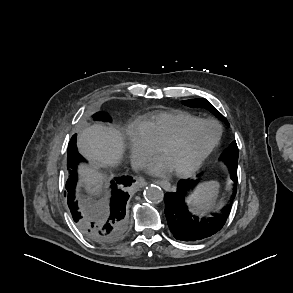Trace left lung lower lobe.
I'll use <instances>...</instances> for the list:
<instances>
[{"label": "left lung lower lobe", "mask_w": 293, "mask_h": 293, "mask_svg": "<svg viewBox=\"0 0 293 293\" xmlns=\"http://www.w3.org/2000/svg\"><path fill=\"white\" fill-rule=\"evenodd\" d=\"M229 169L231 179L235 183L233 188L234 198L237 186V165H231ZM193 183V180H181L175 192L167 193L164 196L166 206L164 212L168 226L177 240L197 241L210 237L224 226L231 210L232 201L224 209L222 215H215L212 218L203 219L191 215L185 203V195L192 189Z\"/></svg>", "instance_id": "left-lung-lower-lobe-1"}]
</instances>
